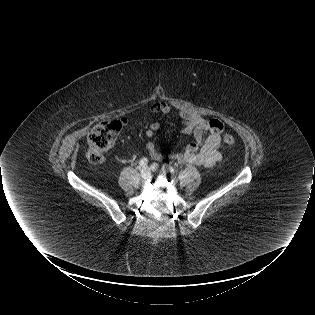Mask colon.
<instances>
[{"label": "colon", "mask_w": 315, "mask_h": 315, "mask_svg": "<svg viewBox=\"0 0 315 315\" xmlns=\"http://www.w3.org/2000/svg\"><path fill=\"white\" fill-rule=\"evenodd\" d=\"M117 121L103 122L97 125L87 137V157L93 164L102 162L106 152L114 145L121 129ZM223 143L228 147L235 145V139L230 134L223 136Z\"/></svg>", "instance_id": "5ec220e1"}]
</instances>
